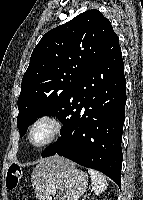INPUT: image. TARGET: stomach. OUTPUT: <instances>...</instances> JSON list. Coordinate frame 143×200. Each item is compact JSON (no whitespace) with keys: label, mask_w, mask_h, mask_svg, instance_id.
Here are the masks:
<instances>
[{"label":"stomach","mask_w":143,"mask_h":200,"mask_svg":"<svg viewBox=\"0 0 143 200\" xmlns=\"http://www.w3.org/2000/svg\"><path fill=\"white\" fill-rule=\"evenodd\" d=\"M88 175L74 165L56 171L40 200H78L86 191Z\"/></svg>","instance_id":"1"}]
</instances>
